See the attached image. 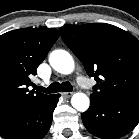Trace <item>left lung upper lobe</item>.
Segmentation results:
<instances>
[{
    "mask_svg": "<svg viewBox=\"0 0 139 139\" xmlns=\"http://www.w3.org/2000/svg\"><path fill=\"white\" fill-rule=\"evenodd\" d=\"M59 30L87 74L97 81L92 97L107 103L139 95V41L134 36L103 23Z\"/></svg>",
    "mask_w": 139,
    "mask_h": 139,
    "instance_id": "left-lung-upper-lobe-1",
    "label": "left lung upper lobe"
}]
</instances>
